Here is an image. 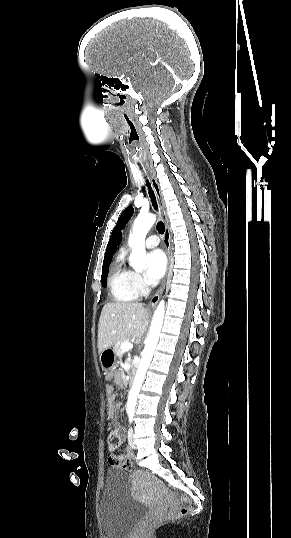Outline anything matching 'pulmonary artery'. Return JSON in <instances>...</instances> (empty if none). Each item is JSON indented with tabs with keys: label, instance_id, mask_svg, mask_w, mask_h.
Instances as JSON below:
<instances>
[{
	"label": "pulmonary artery",
	"instance_id": "obj_1",
	"mask_svg": "<svg viewBox=\"0 0 291 538\" xmlns=\"http://www.w3.org/2000/svg\"><path fill=\"white\" fill-rule=\"evenodd\" d=\"M159 243V237L156 235H150L145 241V245L147 248H155L159 245Z\"/></svg>",
	"mask_w": 291,
	"mask_h": 538
}]
</instances>
